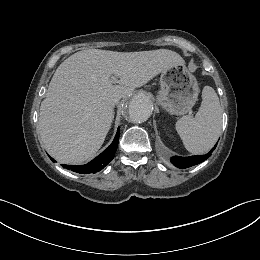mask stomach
<instances>
[{
    "instance_id": "1",
    "label": "stomach",
    "mask_w": 260,
    "mask_h": 260,
    "mask_svg": "<svg viewBox=\"0 0 260 260\" xmlns=\"http://www.w3.org/2000/svg\"><path fill=\"white\" fill-rule=\"evenodd\" d=\"M161 86L156 91V102L169 114L184 116L198 100V84L194 76L182 75L178 67L163 71Z\"/></svg>"
}]
</instances>
